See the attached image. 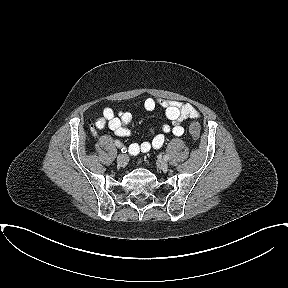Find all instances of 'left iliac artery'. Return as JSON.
<instances>
[{
  "label": "left iliac artery",
  "mask_w": 288,
  "mask_h": 288,
  "mask_svg": "<svg viewBox=\"0 0 288 288\" xmlns=\"http://www.w3.org/2000/svg\"><path fill=\"white\" fill-rule=\"evenodd\" d=\"M169 156L168 155H164V160H168Z\"/></svg>",
  "instance_id": "left-iliac-artery-1"
}]
</instances>
